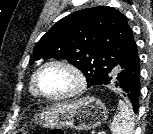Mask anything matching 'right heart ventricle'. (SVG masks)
<instances>
[{"instance_id":"obj_1","label":"right heart ventricle","mask_w":153,"mask_h":134,"mask_svg":"<svg viewBox=\"0 0 153 134\" xmlns=\"http://www.w3.org/2000/svg\"><path fill=\"white\" fill-rule=\"evenodd\" d=\"M35 73V72H34ZM34 73L32 74L31 78H30V83H29V90H30V93L33 95V96H38L34 90V87H33V77H34Z\"/></svg>"}]
</instances>
